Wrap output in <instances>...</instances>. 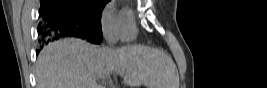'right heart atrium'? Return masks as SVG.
<instances>
[{
  "mask_svg": "<svg viewBox=\"0 0 267 88\" xmlns=\"http://www.w3.org/2000/svg\"><path fill=\"white\" fill-rule=\"evenodd\" d=\"M101 27L106 40L113 44L120 35L121 16L116 12L113 3H109L101 14Z\"/></svg>",
  "mask_w": 267,
  "mask_h": 88,
  "instance_id": "d8ad5b80",
  "label": "right heart atrium"
}]
</instances>
